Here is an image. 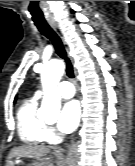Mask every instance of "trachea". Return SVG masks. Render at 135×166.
I'll list each match as a JSON object with an SVG mask.
<instances>
[{
	"label": "trachea",
	"instance_id": "trachea-1",
	"mask_svg": "<svg viewBox=\"0 0 135 166\" xmlns=\"http://www.w3.org/2000/svg\"><path fill=\"white\" fill-rule=\"evenodd\" d=\"M36 27L44 36L52 41L56 53L66 62V73L68 77L74 78L73 67L69 58L67 57L66 50L58 34L50 27L48 23H37Z\"/></svg>",
	"mask_w": 135,
	"mask_h": 166
}]
</instances>
